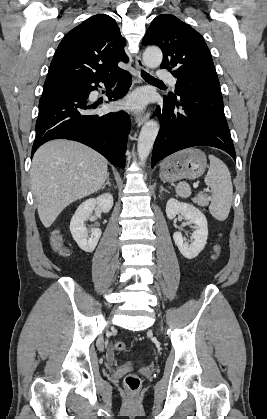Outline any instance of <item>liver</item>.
<instances>
[{
	"instance_id": "1",
	"label": "liver",
	"mask_w": 267,
	"mask_h": 419,
	"mask_svg": "<svg viewBox=\"0 0 267 419\" xmlns=\"http://www.w3.org/2000/svg\"><path fill=\"white\" fill-rule=\"evenodd\" d=\"M30 176L39 218L49 228L69 204L104 185L107 160L79 142L53 140L34 154Z\"/></svg>"
}]
</instances>
